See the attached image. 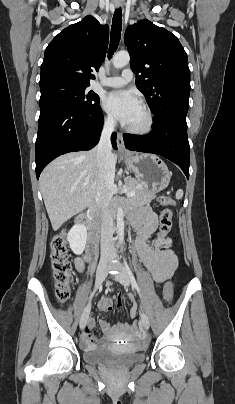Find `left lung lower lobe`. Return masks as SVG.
Wrapping results in <instances>:
<instances>
[{"mask_svg": "<svg viewBox=\"0 0 235 404\" xmlns=\"http://www.w3.org/2000/svg\"><path fill=\"white\" fill-rule=\"evenodd\" d=\"M129 150L159 154L177 164L189 179L190 147L186 116L169 113L154 119L153 131L148 135L123 134Z\"/></svg>", "mask_w": 235, "mask_h": 404, "instance_id": "1", "label": "left lung lower lobe"}]
</instances>
